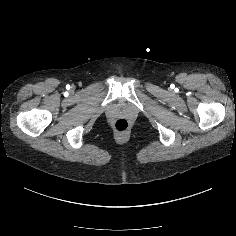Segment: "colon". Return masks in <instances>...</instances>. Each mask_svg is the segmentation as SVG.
<instances>
[{"instance_id": "1", "label": "colon", "mask_w": 236, "mask_h": 236, "mask_svg": "<svg viewBox=\"0 0 236 236\" xmlns=\"http://www.w3.org/2000/svg\"><path fill=\"white\" fill-rule=\"evenodd\" d=\"M128 121L126 119H118L114 123L116 131L123 133L128 129Z\"/></svg>"}]
</instances>
